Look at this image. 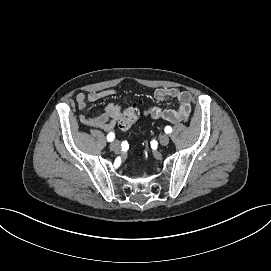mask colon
Wrapping results in <instances>:
<instances>
[{"label":"colon","instance_id":"colon-1","mask_svg":"<svg viewBox=\"0 0 271 271\" xmlns=\"http://www.w3.org/2000/svg\"><path fill=\"white\" fill-rule=\"evenodd\" d=\"M140 114L139 108L137 105H132L128 107L119 121V128L123 131L128 130L138 119Z\"/></svg>","mask_w":271,"mask_h":271}]
</instances>
